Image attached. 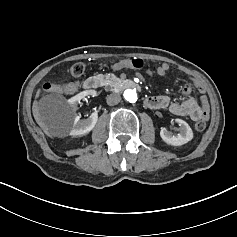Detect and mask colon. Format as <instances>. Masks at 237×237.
Returning <instances> with one entry per match:
<instances>
[{"mask_svg":"<svg viewBox=\"0 0 237 237\" xmlns=\"http://www.w3.org/2000/svg\"><path fill=\"white\" fill-rule=\"evenodd\" d=\"M131 68L133 69H140L143 67V61L141 59L135 58L130 60ZM70 72L74 77H80L84 74L85 72V66L83 63L78 62L75 63L71 66ZM149 76H152V72H148ZM52 85L51 84H46L44 85V90L49 91L51 90ZM206 122L205 120H200L195 124V128L197 131L202 132L206 129Z\"/></svg>","mask_w":237,"mask_h":237,"instance_id":"obj_1","label":"colon"}]
</instances>
